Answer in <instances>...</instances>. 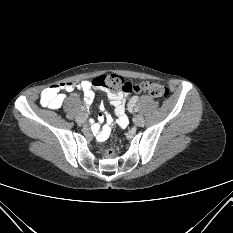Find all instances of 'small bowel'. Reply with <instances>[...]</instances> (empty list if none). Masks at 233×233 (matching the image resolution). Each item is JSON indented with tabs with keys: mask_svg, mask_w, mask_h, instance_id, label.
<instances>
[{
	"mask_svg": "<svg viewBox=\"0 0 233 233\" xmlns=\"http://www.w3.org/2000/svg\"><path fill=\"white\" fill-rule=\"evenodd\" d=\"M104 77L98 76L88 80H81L78 82H65L52 85L44 89L40 95V104L43 107L57 110L59 109L65 99V92H72L74 89H81L83 92V100L86 105H91L95 98L94 90H100L110 100L114 107V116L110 115L104 106L99 108L98 123L92 126V132L101 141L105 140L110 132L111 127L116 120L120 128H125L128 125V117L125 112L126 93L123 91H111L107 84H104ZM137 102L136 96H131L128 103L127 112H134V103ZM103 122H106L104 125Z\"/></svg>",
	"mask_w": 233,
	"mask_h": 233,
	"instance_id": "c3829d8e",
	"label": "small bowel"
}]
</instances>
